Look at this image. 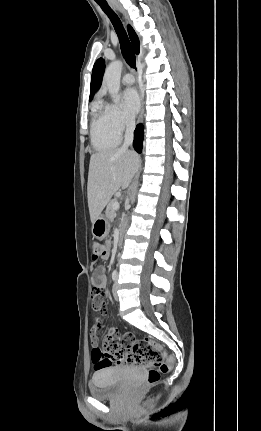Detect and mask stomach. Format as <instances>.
Here are the masks:
<instances>
[{
	"mask_svg": "<svg viewBox=\"0 0 261 431\" xmlns=\"http://www.w3.org/2000/svg\"><path fill=\"white\" fill-rule=\"evenodd\" d=\"M110 231V223L108 218L100 214L92 223V234L97 239H104Z\"/></svg>",
	"mask_w": 261,
	"mask_h": 431,
	"instance_id": "0dacf381",
	"label": "stomach"
}]
</instances>
